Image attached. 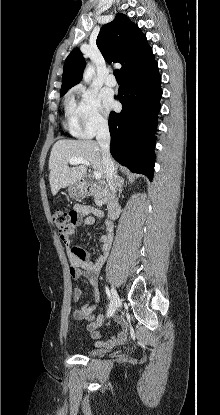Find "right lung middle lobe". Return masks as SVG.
<instances>
[{
    "instance_id": "dd1d6c3e",
    "label": "right lung middle lobe",
    "mask_w": 220,
    "mask_h": 415,
    "mask_svg": "<svg viewBox=\"0 0 220 415\" xmlns=\"http://www.w3.org/2000/svg\"><path fill=\"white\" fill-rule=\"evenodd\" d=\"M65 93H66V92H61V93H60V96L62 97Z\"/></svg>"
}]
</instances>
